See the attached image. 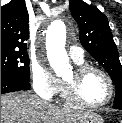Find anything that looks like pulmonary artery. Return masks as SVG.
Listing matches in <instances>:
<instances>
[{
  "instance_id": "1",
  "label": "pulmonary artery",
  "mask_w": 122,
  "mask_h": 123,
  "mask_svg": "<svg viewBox=\"0 0 122 123\" xmlns=\"http://www.w3.org/2000/svg\"><path fill=\"white\" fill-rule=\"evenodd\" d=\"M68 53L72 60L74 61H81L84 59V51L81 47L78 46H70L68 48Z\"/></svg>"
}]
</instances>
